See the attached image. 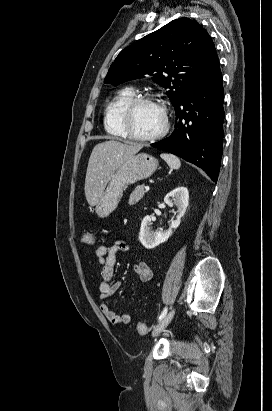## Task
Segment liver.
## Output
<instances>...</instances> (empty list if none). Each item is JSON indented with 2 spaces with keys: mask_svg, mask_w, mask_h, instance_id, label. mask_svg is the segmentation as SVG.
<instances>
[{
  "mask_svg": "<svg viewBox=\"0 0 272 411\" xmlns=\"http://www.w3.org/2000/svg\"><path fill=\"white\" fill-rule=\"evenodd\" d=\"M143 146L124 144L115 140L95 145L89 158L84 188L90 206L98 204L115 170L138 153Z\"/></svg>",
  "mask_w": 272,
  "mask_h": 411,
  "instance_id": "obj_1",
  "label": "liver"
}]
</instances>
